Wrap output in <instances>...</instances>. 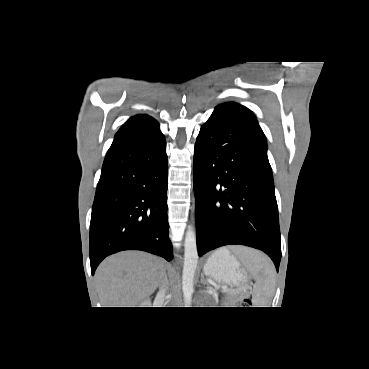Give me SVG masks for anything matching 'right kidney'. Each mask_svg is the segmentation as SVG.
Returning <instances> with one entry per match:
<instances>
[{
    "label": "right kidney",
    "mask_w": 369,
    "mask_h": 369,
    "mask_svg": "<svg viewBox=\"0 0 369 369\" xmlns=\"http://www.w3.org/2000/svg\"><path fill=\"white\" fill-rule=\"evenodd\" d=\"M149 305H151V301L150 299L148 300H144L142 303H141V307H148Z\"/></svg>",
    "instance_id": "ca27d5eb"
}]
</instances>
